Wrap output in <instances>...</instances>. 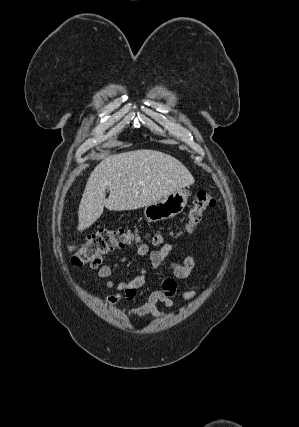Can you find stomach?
Wrapping results in <instances>:
<instances>
[{"label":"stomach","mask_w":299,"mask_h":427,"mask_svg":"<svg viewBox=\"0 0 299 427\" xmlns=\"http://www.w3.org/2000/svg\"><path fill=\"white\" fill-rule=\"evenodd\" d=\"M188 192L179 189L158 202L145 206L144 216L150 222L167 220L180 214L187 205Z\"/></svg>","instance_id":"obj_1"}]
</instances>
